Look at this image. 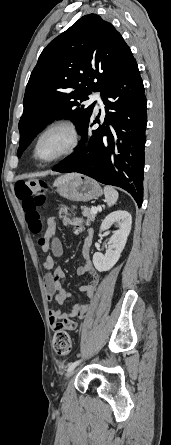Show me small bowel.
Wrapping results in <instances>:
<instances>
[{"instance_id": "1", "label": "small bowel", "mask_w": 171, "mask_h": 445, "mask_svg": "<svg viewBox=\"0 0 171 445\" xmlns=\"http://www.w3.org/2000/svg\"><path fill=\"white\" fill-rule=\"evenodd\" d=\"M57 230V222L51 219L44 235L38 240V245L43 252L51 251V255H47L43 260V267L47 270L44 276V285L46 298L48 301H54L58 305H62L72 294L64 288L65 274L62 268L55 267V259L63 254V246L61 241L55 237ZM83 262L77 267V273L80 276H91V280L80 286V290L86 292L87 303H75L69 313H62L57 308L48 310L50 324L54 330L61 327L63 329L74 331L79 328V321L74 320L75 317L83 319L85 313L89 309L99 284V275L95 270L91 261V238L87 236L82 245Z\"/></svg>"}]
</instances>
